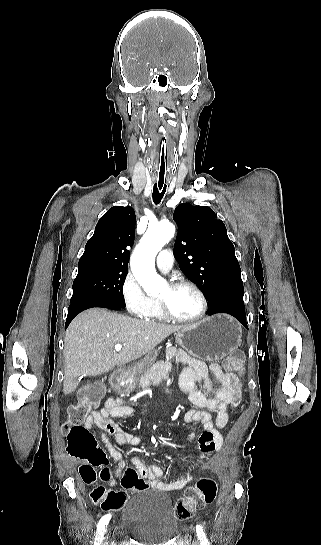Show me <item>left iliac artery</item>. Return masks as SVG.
Segmentation results:
<instances>
[{
  "mask_svg": "<svg viewBox=\"0 0 321 545\" xmlns=\"http://www.w3.org/2000/svg\"><path fill=\"white\" fill-rule=\"evenodd\" d=\"M196 532H197V536L201 542V545H209L208 543V540L204 534V531H203V528L201 525H197L196 526Z\"/></svg>",
  "mask_w": 321,
  "mask_h": 545,
  "instance_id": "44dca946",
  "label": "left iliac artery"
}]
</instances>
